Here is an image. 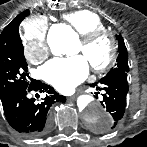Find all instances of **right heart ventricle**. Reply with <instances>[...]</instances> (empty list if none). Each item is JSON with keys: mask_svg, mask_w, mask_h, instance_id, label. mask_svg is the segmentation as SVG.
Returning <instances> with one entry per match:
<instances>
[{"mask_svg": "<svg viewBox=\"0 0 147 147\" xmlns=\"http://www.w3.org/2000/svg\"><path fill=\"white\" fill-rule=\"evenodd\" d=\"M63 18L80 36L105 27L99 15L89 10L71 12L65 14Z\"/></svg>", "mask_w": 147, "mask_h": 147, "instance_id": "1", "label": "right heart ventricle"}]
</instances>
